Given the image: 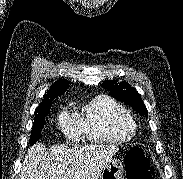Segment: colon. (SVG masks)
Returning a JSON list of instances; mask_svg holds the SVG:
<instances>
[{
  "label": "colon",
  "instance_id": "1",
  "mask_svg": "<svg viewBox=\"0 0 183 179\" xmlns=\"http://www.w3.org/2000/svg\"><path fill=\"white\" fill-rule=\"evenodd\" d=\"M126 179H152L153 167L140 148L130 149L125 156Z\"/></svg>",
  "mask_w": 183,
  "mask_h": 179
}]
</instances>
